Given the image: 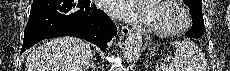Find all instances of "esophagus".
Segmentation results:
<instances>
[{
  "label": "esophagus",
  "instance_id": "34e87169",
  "mask_svg": "<svg viewBox=\"0 0 230 71\" xmlns=\"http://www.w3.org/2000/svg\"><path fill=\"white\" fill-rule=\"evenodd\" d=\"M132 31V29L129 26H122L121 27V33L123 36H127L128 34H130Z\"/></svg>",
  "mask_w": 230,
  "mask_h": 71
}]
</instances>
